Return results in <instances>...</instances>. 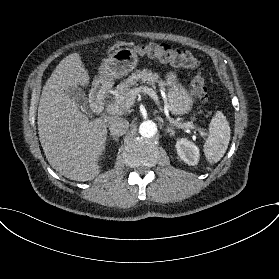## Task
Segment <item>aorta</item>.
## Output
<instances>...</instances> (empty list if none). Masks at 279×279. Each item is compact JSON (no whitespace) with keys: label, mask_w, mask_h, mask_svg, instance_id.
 <instances>
[{"label":"aorta","mask_w":279,"mask_h":279,"mask_svg":"<svg viewBox=\"0 0 279 279\" xmlns=\"http://www.w3.org/2000/svg\"><path fill=\"white\" fill-rule=\"evenodd\" d=\"M157 132V125L151 121V120H146L143 121L140 124L139 127V133L143 136V137H153Z\"/></svg>","instance_id":"aorta-1"}]
</instances>
